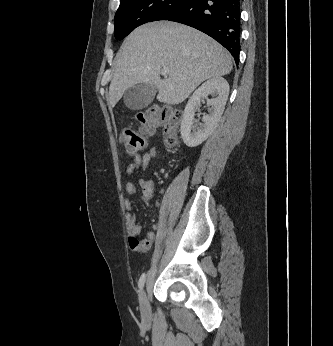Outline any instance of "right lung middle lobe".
I'll return each instance as SVG.
<instances>
[{
	"mask_svg": "<svg viewBox=\"0 0 333 346\" xmlns=\"http://www.w3.org/2000/svg\"><path fill=\"white\" fill-rule=\"evenodd\" d=\"M184 0H120L115 14L116 39H123L136 27L167 19Z\"/></svg>",
	"mask_w": 333,
	"mask_h": 346,
	"instance_id": "right-lung-middle-lobe-1",
	"label": "right lung middle lobe"
}]
</instances>
